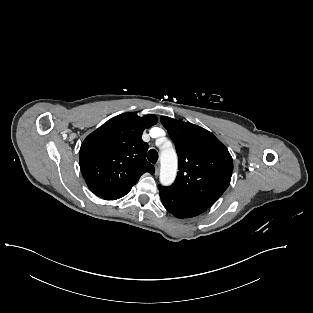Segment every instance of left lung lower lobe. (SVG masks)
<instances>
[{"mask_svg": "<svg viewBox=\"0 0 313 313\" xmlns=\"http://www.w3.org/2000/svg\"><path fill=\"white\" fill-rule=\"evenodd\" d=\"M158 189L164 207L177 218L195 217L207 210V208H204L202 206L183 201L169 194L160 187H158Z\"/></svg>", "mask_w": 313, "mask_h": 313, "instance_id": "0a47b994", "label": "left lung lower lobe"}]
</instances>
